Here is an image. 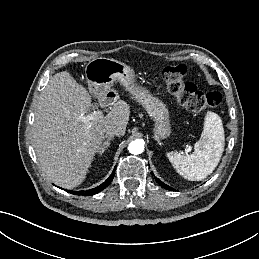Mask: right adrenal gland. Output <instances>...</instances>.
<instances>
[{
  "label": "right adrenal gland",
  "instance_id": "1",
  "mask_svg": "<svg viewBox=\"0 0 259 259\" xmlns=\"http://www.w3.org/2000/svg\"><path fill=\"white\" fill-rule=\"evenodd\" d=\"M113 139V137H108L107 139H106V141L103 143V145L100 147V149H99V155H102L105 151H106V149L109 147V145H110V141Z\"/></svg>",
  "mask_w": 259,
  "mask_h": 259
}]
</instances>
